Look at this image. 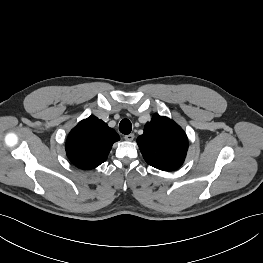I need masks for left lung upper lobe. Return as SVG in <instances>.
Instances as JSON below:
<instances>
[{"label": "left lung upper lobe", "mask_w": 263, "mask_h": 263, "mask_svg": "<svg viewBox=\"0 0 263 263\" xmlns=\"http://www.w3.org/2000/svg\"><path fill=\"white\" fill-rule=\"evenodd\" d=\"M145 161L160 170L179 168L186 157L188 139L185 132L167 117L154 115L137 138Z\"/></svg>", "instance_id": "1"}]
</instances>
